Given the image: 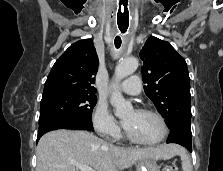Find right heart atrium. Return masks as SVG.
<instances>
[{
    "instance_id": "right-heart-atrium-1",
    "label": "right heart atrium",
    "mask_w": 223,
    "mask_h": 171,
    "mask_svg": "<svg viewBox=\"0 0 223 171\" xmlns=\"http://www.w3.org/2000/svg\"><path fill=\"white\" fill-rule=\"evenodd\" d=\"M93 126L96 132L108 139H116L120 135V128L115 118L109 112L106 105L99 103L96 105L92 116Z\"/></svg>"
}]
</instances>
